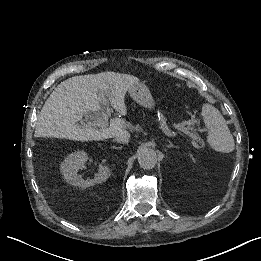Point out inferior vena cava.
I'll use <instances>...</instances> for the list:
<instances>
[{
	"label": "inferior vena cava",
	"mask_w": 261,
	"mask_h": 261,
	"mask_svg": "<svg viewBox=\"0 0 261 261\" xmlns=\"http://www.w3.org/2000/svg\"><path fill=\"white\" fill-rule=\"evenodd\" d=\"M131 138L129 133H124L118 137H115V140L119 143H128Z\"/></svg>",
	"instance_id": "602c4592"
}]
</instances>
